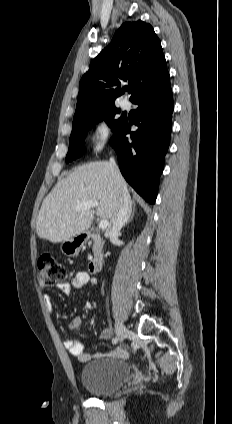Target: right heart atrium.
<instances>
[{
    "label": "right heart atrium",
    "mask_w": 232,
    "mask_h": 424,
    "mask_svg": "<svg viewBox=\"0 0 232 424\" xmlns=\"http://www.w3.org/2000/svg\"><path fill=\"white\" fill-rule=\"evenodd\" d=\"M112 127L106 119L97 120L89 133L90 147L93 152L101 151L109 142Z\"/></svg>",
    "instance_id": "1"
}]
</instances>
